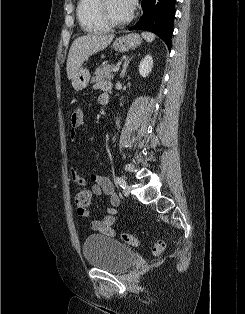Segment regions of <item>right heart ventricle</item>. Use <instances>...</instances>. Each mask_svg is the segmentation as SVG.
<instances>
[{
	"instance_id": "obj_1",
	"label": "right heart ventricle",
	"mask_w": 245,
	"mask_h": 314,
	"mask_svg": "<svg viewBox=\"0 0 245 314\" xmlns=\"http://www.w3.org/2000/svg\"><path fill=\"white\" fill-rule=\"evenodd\" d=\"M97 0H78L77 18L82 29L88 33H101L107 31L106 27L97 17L95 6Z\"/></svg>"
}]
</instances>
